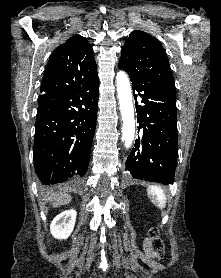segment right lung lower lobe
I'll use <instances>...</instances> for the list:
<instances>
[{
    "mask_svg": "<svg viewBox=\"0 0 221 278\" xmlns=\"http://www.w3.org/2000/svg\"><path fill=\"white\" fill-rule=\"evenodd\" d=\"M99 79L40 95L33 159L46 185L83 177L96 127Z\"/></svg>",
    "mask_w": 221,
    "mask_h": 278,
    "instance_id": "obj_1",
    "label": "right lung lower lobe"
}]
</instances>
